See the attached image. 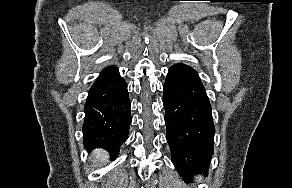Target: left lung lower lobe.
<instances>
[{
    "instance_id": "left-lung-lower-lobe-1",
    "label": "left lung lower lobe",
    "mask_w": 292,
    "mask_h": 188,
    "mask_svg": "<svg viewBox=\"0 0 292 188\" xmlns=\"http://www.w3.org/2000/svg\"><path fill=\"white\" fill-rule=\"evenodd\" d=\"M163 105L175 168L186 180L205 173L213 155L215 128L206 91L193 68L179 63L169 68Z\"/></svg>"
}]
</instances>
